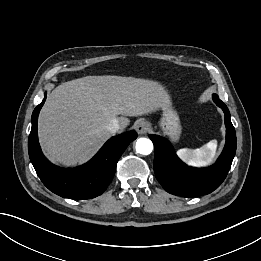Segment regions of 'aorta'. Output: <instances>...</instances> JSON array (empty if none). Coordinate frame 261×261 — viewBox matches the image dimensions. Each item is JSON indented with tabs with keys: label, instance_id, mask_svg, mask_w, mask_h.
Listing matches in <instances>:
<instances>
[{
	"label": "aorta",
	"instance_id": "aorta-1",
	"mask_svg": "<svg viewBox=\"0 0 261 261\" xmlns=\"http://www.w3.org/2000/svg\"><path fill=\"white\" fill-rule=\"evenodd\" d=\"M153 150V143L150 139L139 138L136 141V151L142 155H149Z\"/></svg>",
	"mask_w": 261,
	"mask_h": 261
}]
</instances>
